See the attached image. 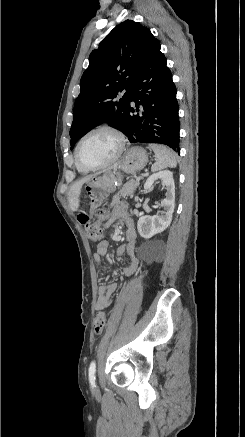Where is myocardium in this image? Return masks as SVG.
I'll list each match as a JSON object with an SVG mask.
<instances>
[{
    "label": "myocardium",
    "mask_w": 245,
    "mask_h": 437,
    "mask_svg": "<svg viewBox=\"0 0 245 437\" xmlns=\"http://www.w3.org/2000/svg\"><path fill=\"white\" fill-rule=\"evenodd\" d=\"M99 131H107L112 133L118 140V149L115 153V155L107 162L103 163V164H97V165H91V164H87L85 163L80 156V147L81 144L83 143V141L91 134L95 133V132H99ZM127 146V140L126 137L124 135V133L112 126V125H108V124H102V125H98L95 126L89 130H87L78 140L76 147H75V158L76 161L84 168L89 169V170H99V169H104L107 167L112 166L113 164H115L123 155L125 149Z\"/></svg>",
    "instance_id": "1"
}]
</instances>
